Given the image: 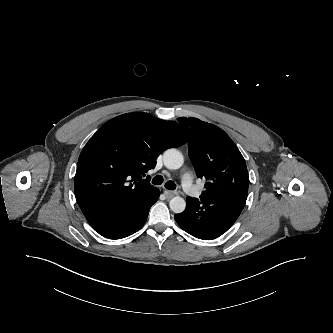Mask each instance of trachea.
<instances>
[{
    "mask_svg": "<svg viewBox=\"0 0 333 333\" xmlns=\"http://www.w3.org/2000/svg\"><path fill=\"white\" fill-rule=\"evenodd\" d=\"M163 180L164 179L161 175H157L152 179V183L155 184V185H160V184L163 183ZM165 188L169 189V190H174V189H176V185L173 181H167L165 183Z\"/></svg>",
    "mask_w": 333,
    "mask_h": 333,
    "instance_id": "1",
    "label": "trachea"
}]
</instances>
